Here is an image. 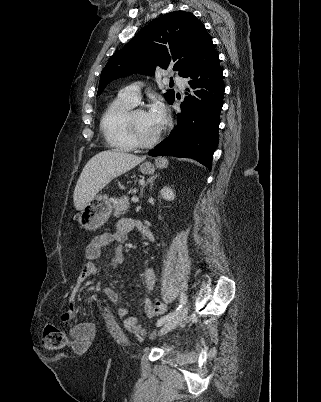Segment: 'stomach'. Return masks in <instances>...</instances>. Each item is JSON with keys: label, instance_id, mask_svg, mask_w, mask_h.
<instances>
[{"label": "stomach", "instance_id": "obj_1", "mask_svg": "<svg viewBox=\"0 0 321 402\" xmlns=\"http://www.w3.org/2000/svg\"><path fill=\"white\" fill-rule=\"evenodd\" d=\"M167 166V160L156 158L155 163L144 162L140 165V171L143 174H152L155 167L164 168ZM112 205L107 195H96L81 210L79 222L81 227L87 230H96L101 227L110 217Z\"/></svg>", "mask_w": 321, "mask_h": 402}]
</instances>
